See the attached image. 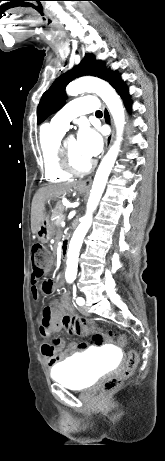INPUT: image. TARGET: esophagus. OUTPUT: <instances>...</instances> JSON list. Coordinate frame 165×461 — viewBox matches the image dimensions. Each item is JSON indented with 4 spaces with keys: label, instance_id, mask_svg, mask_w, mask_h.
I'll return each instance as SVG.
<instances>
[{
    "label": "esophagus",
    "instance_id": "34e87169",
    "mask_svg": "<svg viewBox=\"0 0 165 461\" xmlns=\"http://www.w3.org/2000/svg\"><path fill=\"white\" fill-rule=\"evenodd\" d=\"M103 112H104V120L107 124H110L111 126V132L110 134L107 136L106 138V143H105V149L107 150L111 143H112V140H113V136H114V127H113V121H112V118H111V115H110V112L109 110L106 108V107H103ZM92 184V179L91 178H88L82 182H80V186L82 187H90Z\"/></svg>",
    "mask_w": 165,
    "mask_h": 461
}]
</instances>
